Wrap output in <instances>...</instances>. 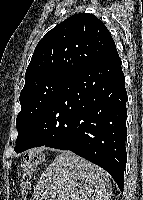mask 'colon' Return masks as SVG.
I'll use <instances>...</instances> for the list:
<instances>
[{
    "instance_id": "colon-1",
    "label": "colon",
    "mask_w": 143,
    "mask_h": 200,
    "mask_svg": "<svg viewBox=\"0 0 143 200\" xmlns=\"http://www.w3.org/2000/svg\"><path fill=\"white\" fill-rule=\"evenodd\" d=\"M44 156L41 152L31 151L25 154L20 170L17 173L16 185L21 194L20 200H24L23 195L28 189L31 174L42 164Z\"/></svg>"
}]
</instances>
